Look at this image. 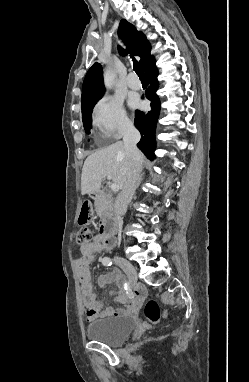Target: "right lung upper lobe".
Masks as SVG:
<instances>
[{"label":"right lung upper lobe","mask_w":249,"mask_h":382,"mask_svg":"<svg viewBox=\"0 0 249 382\" xmlns=\"http://www.w3.org/2000/svg\"><path fill=\"white\" fill-rule=\"evenodd\" d=\"M118 34L126 44L130 53L136 56H140V64L144 69L146 65L153 59L150 55V44L147 41L145 35L137 31L135 26L122 19L118 28ZM119 52L122 55H126L127 52L122 48H119ZM105 92L103 84V72L99 63H94L88 70L83 86H82V111H84L92 102L99 100Z\"/></svg>","instance_id":"1"}]
</instances>
